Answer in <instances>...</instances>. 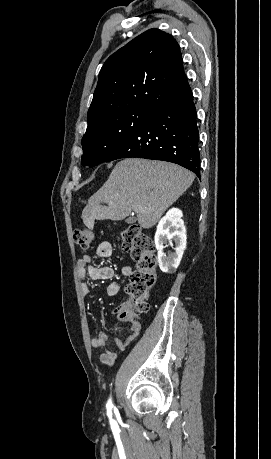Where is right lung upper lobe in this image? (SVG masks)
Returning a JSON list of instances; mask_svg holds the SVG:
<instances>
[{
	"label": "right lung upper lobe",
	"instance_id": "right-lung-upper-lobe-1",
	"mask_svg": "<svg viewBox=\"0 0 271 459\" xmlns=\"http://www.w3.org/2000/svg\"><path fill=\"white\" fill-rule=\"evenodd\" d=\"M187 85L178 43L150 29L106 60L87 120L140 105L157 109Z\"/></svg>",
	"mask_w": 271,
	"mask_h": 459
}]
</instances>
